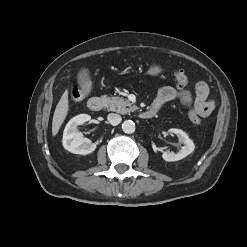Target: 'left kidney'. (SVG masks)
Masks as SVG:
<instances>
[{"label":"left kidney","mask_w":247,"mask_h":247,"mask_svg":"<svg viewBox=\"0 0 247 247\" xmlns=\"http://www.w3.org/2000/svg\"><path fill=\"white\" fill-rule=\"evenodd\" d=\"M170 133L176 134L179 142L183 144L182 148L177 152H164L162 158L167 162H174L181 160L191 154L194 151L195 145L194 142L189 138V136L180 129L171 128L169 129Z\"/></svg>","instance_id":"5707ae66"}]
</instances>
